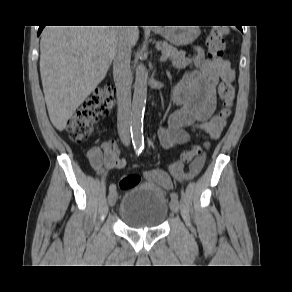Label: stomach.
<instances>
[{"mask_svg":"<svg viewBox=\"0 0 292 292\" xmlns=\"http://www.w3.org/2000/svg\"><path fill=\"white\" fill-rule=\"evenodd\" d=\"M199 32L198 26H186L164 28L161 34L170 43L182 46L192 43L198 37Z\"/></svg>","mask_w":292,"mask_h":292,"instance_id":"1","label":"stomach"}]
</instances>
